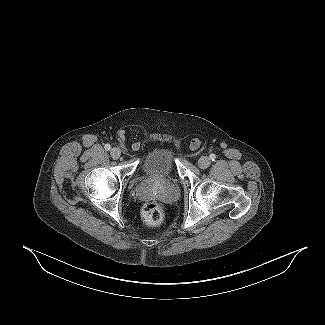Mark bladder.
Segmentation results:
<instances>
[{
    "label": "bladder",
    "instance_id": "obj_1",
    "mask_svg": "<svg viewBox=\"0 0 325 325\" xmlns=\"http://www.w3.org/2000/svg\"><path fill=\"white\" fill-rule=\"evenodd\" d=\"M175 168V152L171 147H160L149 152L141 165L142 172L150 178H158Z\"/></svg>",
    "mask_w": 325,
    "mask_h": 325
}]
</instances>
